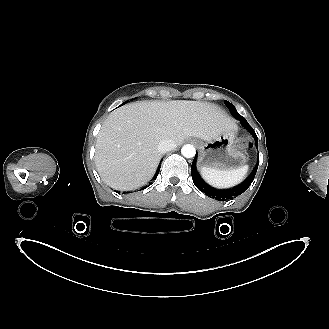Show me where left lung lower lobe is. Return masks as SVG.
<instances>
[{
    "mask_svg": "<svg viewBox=\"0 0 329 329\" xmlns=\"http://www.w3.org/2000/svg\"><path fill=\"white\" fill-rule=\"evenodd\" d=\"M240 122L251 133V135L253 136V138L255 140V144L257 146L258 138H257V135H256L255 131L253 130V128L248 124V122L246 121L245 118L241 119ZM196 159H197V157L195 156L192 166H191V175H192V179H193L195 186L201 192L205 193L207 196L217 199L219 201H225V200L235 198L236 196L245 192L248 189V187L251 185V183L256 175L258 164H259V161H258V163L254 167L252 173L241 184H239L238 186L233 187L231 189L221 190V189H215V188L211 187L200 177V175L196 169Z\"/></svg>",
    "mask_w": 329,
    "mask_h": 329,
    "instance_id": "obj_1",
    "label": "left lung lower lobe"
}]
</instances>
